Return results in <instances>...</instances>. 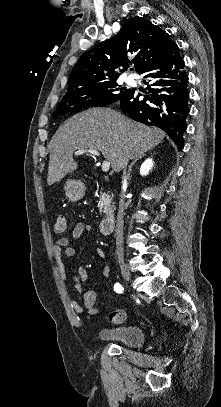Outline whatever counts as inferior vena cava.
<instances>
[{
  "instance_id": "602c4592",
  "label": "inferior vena cava",
  "mask_w": 221,
  "mask_h": 407,
  "mask_svg": "<svg viewBox=\"0 0 221 407\" xmlns=\"http://www.w3.org/2000/svg\"><path fill=\"white\" fill-rule=\"evenodd\" d=\"M126 164L123 165V179L124 182L126 181V171H125ZM123 196V192L121 197ZM115 237H116V253L118 257V261L122 263L124 261V253H123V201L121 200L119 203V210L116 219V230H115Z\"/></svg>"
}]
</instances>
